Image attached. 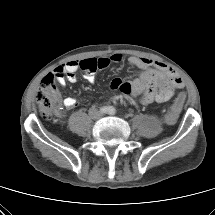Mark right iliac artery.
I'll return each mask as SVG.
<instances>
[{"mask_svg": "<svg viewBox=\"0 0 215 215\" xmlns=\"http://www.w3.org/2000/svg\"><path fill=\"white\" fill-rule=\"evenodd\" d=\"M100 112L102 113V114H105V113H107L108 112V108L107 107H101L100 108Z\"/></svg>", "mask_w": 215, "mask_h": 215, "instance_id": "right-iliac-artery-1", "label": "right iliac artery"}]
</instances>
